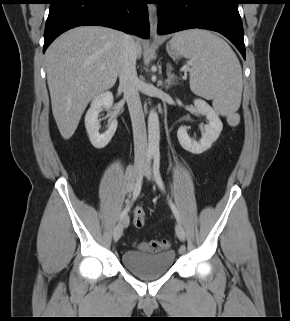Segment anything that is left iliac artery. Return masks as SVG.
I'll list each match as a JSON object with an SVG mask.
<instances>
[{"label":"left iliac artery","instance_id":"obj_1","mask_svg":"<svg viewBox=\"0 0 290 321\" xmlns=\"http://www.w3.org/2000/svg\"><path fill=\"white\" fill-rule=\"evenodd\" d=\"M153 173H154V177H155L158 187L162 191H165V186H164V183H163V180L161 177V173H160V152L159 151H156L154 153ZM169 205H170L172 212H173L174 216L176 217V219L178 221H180L179 212L171 200H169Z\"/></svg>","mask_w":290,"mask_h":321}]
</instances>
